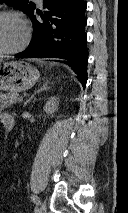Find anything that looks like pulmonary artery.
I'll return each instance as SVG.
<instances>
[{
    "instance_id": "pulmonary-artery-1",
    "label": "pulmonary artery",
    "mask_w": 128,
    "mask_h": 213,
    "mask_svg": "<svg viewBox=\"0 0 128 213\" xmlns=\"http://www.w3.org/2000/svg\"><path fill=\"white\" fill-rule=\"evenodd\" d=\"M38 4H41L42 0H35Z\"/></svg>"
}]
</instances>
